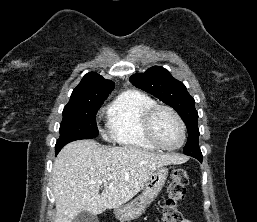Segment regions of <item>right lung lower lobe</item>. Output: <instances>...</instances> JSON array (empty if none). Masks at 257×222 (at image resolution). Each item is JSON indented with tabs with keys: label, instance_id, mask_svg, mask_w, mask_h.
Segmentation results:
<instances>
[{
	"label": "right lung lower lobe",
	"instance_id": "obj_1",
	"mask_svg": "<svg viewBox=\"0 0 257 222\" xmlns=\"http://www.w3.org/2000/svg\"><path fill=\"white\" fill-rule=\"evenodd\" d=\"M60 151V150H59ZM59 151H55L56 152V155L58 154Z\"/></svg>",
	"mask_w": 257,
	"mask_h": 222
}]
</instances>
